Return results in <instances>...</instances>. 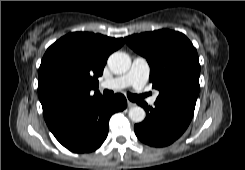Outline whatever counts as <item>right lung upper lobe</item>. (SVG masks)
<instances>
[{
  "instance_id": "obj_1",
  "label": "right lung upper lobe",
  "mask_w": 245,
  "mask_h": 170,
  "mask_svg": "<svg viewBox=\"0 0 245 170\" xmlns=\"http://www.w3.org/2000/svg\"><path fill=\"white\" fill-rule=\"evenodd\" d=\"M124 44L122 38L74 32L46 51L38 73V95L51 131L90 102L102 97L98 77L108 56Z\"/></svg>"
}]
</instances>
